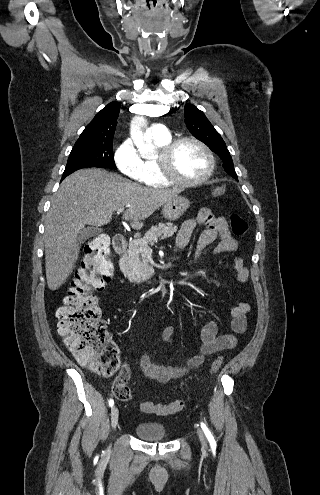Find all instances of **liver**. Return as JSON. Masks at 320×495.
Here are the masks:
<instances>
[{
	"label": "liver",
	"instance_id": "liver-1",
	"mask_svg": "<svg viewBox=\"0 0 320 495\" xmlns=\"http://www.w3.org/2000/svg\"><path fill=\"white\" fill-rule=\"evenodd\" d=\"M180 190H156L101 169L78 170L62 181L45 221V268L50 290L72 273L80 251L77 235L86 224L104 226L120 208L123 219L139 230L143 220Z\"/></svg>",
	"mask_w": 320,
	"mask_h": 495
}]
</instances>
